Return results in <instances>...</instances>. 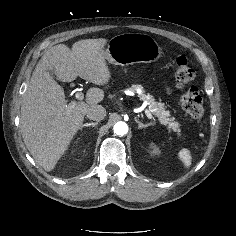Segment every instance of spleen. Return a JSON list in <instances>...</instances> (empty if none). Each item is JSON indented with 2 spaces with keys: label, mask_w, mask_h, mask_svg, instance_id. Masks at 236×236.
Wrapping results in <instances>:
<instances>
[{
  "label": "spleen",
  "mask_w": 236,
  "mask_h": 236,
  "mask_svg": "<svg viewBox=\"0 0 236 236\" xmlns=\"http://www.w3.org/2000/svg\"><path fill=\"white\" fill-rule=\"evenodd\" d=\"M180 159L182 160L184 166L188 168L191 165L192 156L188 149H183L179 153Z\"/></svg>",
  "instance_id": "1"
}]
</instances>
